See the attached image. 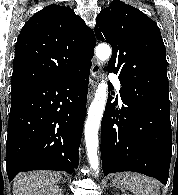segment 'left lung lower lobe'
Listing matches in <instances>:
<instances>
[{
    "instance_id": "0a47b994",
    "label": "left lung lower lobe",
    "mask_w": 178,
    "mask_h": 195,
    "mask_svg": "<svg viewBox=\"0 0 178 195\" xmlns=\"http://www.w3.org/2000/svg\"><path fill=\"white\" fill-rule=\"evenodd\" d=\"M121 110L108 104L101 122L103 172L135 171L166 184L172 154L170 103L120 89Z\"/></svg>"
}]
</instances>
